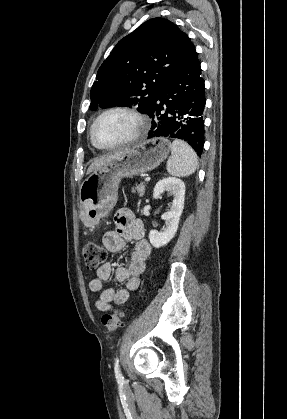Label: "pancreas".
<instances>
[{
	"label": "pancreas",
	"mask_w": 287,
	"mask_h": 419,
	"mask_svg": "<svg viewBox=\"0 0 287 419\" xmlns=\"http://www.w3.org/2000/svg\"><path fill=\"white\" fill-rule=\"evenodd\" d=\"M146 185L144 183L136 184L135 188L132 189V192H137L139 196H142L145 192Z\"/></svg>",
	"instance_id": "obj_1"
}]
</instances>
